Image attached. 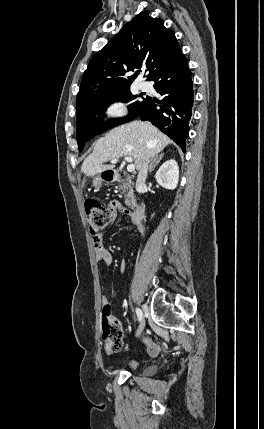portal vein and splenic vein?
Returning a JSON list of instances; mask_svg holds the SVG:
<instances>
[{"mask_svg": "<svg viewBox=\"0 0 264 429\" xmlns=\"http://www.w3.org/2000/svg\"><path fill=\"white\" fill-rule=\"evenodd\" d=\"M125 160H127L130 164L127 166V171L128 172H133L135 170V165L132 163V157L127 156L125 157ZM118 161V159H112L111 162L112 163H116Z\"/></svg>", "mask_w": 264, "mask_h": 429, "instance_id": "portal-vein-and-splenic-vein-1", "label": "portal vein and splenic vein"}]
</instances>
